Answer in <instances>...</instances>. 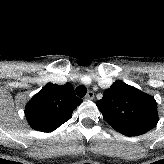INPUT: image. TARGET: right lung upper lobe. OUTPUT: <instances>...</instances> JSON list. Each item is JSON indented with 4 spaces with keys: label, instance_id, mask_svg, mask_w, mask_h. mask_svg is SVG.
Returning <instances> with one entry per match:
<instances>
[{
    "label": "right lung upper lobe",
    "instance_id": "obj_1",
    "mask_svg": "<svg viewBox=\"0 0 164 164\" xmlns=\"http://www.w3.org/2000/svg\"><path fill=\"white\" fill-rule=\"evenodd\" d=\"M81 102L70 83H49L27 103L25 115L33 129L51 132L68 121Z\"/></svg>",
    "mask_w": 164,
    "mask_h": 164
}]
</instances>
